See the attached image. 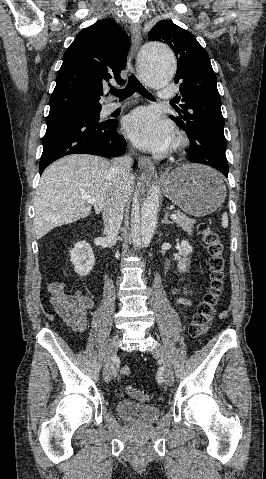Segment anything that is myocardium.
<instances>
[{"instance_id":"obj_1","label":"myocardium","mask_w":266,"mask_h":479,"mask_svg":"<svg viewBox=\"0 0 266 479\" xmlns=\"http://www.w3.org/2000/svg\"><path fill=\"white\" fill-rule=\"evenodd\" d=\"M186 142H187V141H186V139H185L184 137H178V138L176 139L175 145H176L177 147L183 146V145L186 144Z\"/></svg>"}]
</instances>
